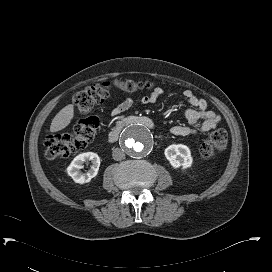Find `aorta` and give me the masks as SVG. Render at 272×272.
Instances as JSON below:
<instances>
[{"mask_svg":"<svg viewBox=\"0 0 272 272\" xmlns=\"http://www.w3.org/2000/svg\"><path fill=\"white\" fill-rule=\"evenodd\" d=\"M121 144L129 156L141 158L151 152L154 146V138L150 130L135 124L123 132Z\"/></svg>","mask_w":272,"mask_h":272,"instance_id":"obj_1","label":"aorta"}]
</instances>
